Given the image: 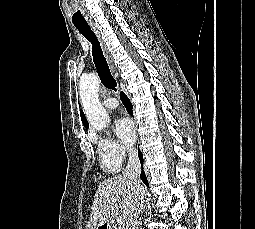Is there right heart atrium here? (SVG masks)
I'll use <instances>...</instances> for the list:
<instances>
[{"instance_id":"d8ad5b80","label":"right heart atrium","mask_w":255,"mask_h":229,"mask_svg":"<svg viewBox=\"0 0 255 229\" xmlns=\"http://www.w3.org/2000/svg\"><path fill=\"white\" fill-rule=\"evenodd\" d=\"M96 142L102 166L108 171L121 168L125 158L133 152L108 135L98 138Z\"/></svg>"}]
</instances>
